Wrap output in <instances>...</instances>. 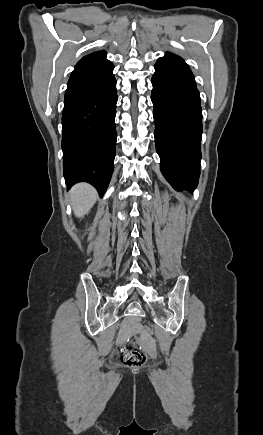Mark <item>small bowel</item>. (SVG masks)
<instances>
[{
  "mask_svg": "<svg viewBox=\"0 0 263 435\" xmlns=\"http://www.w3.org/2000/svg\"><path fill=\"white\" fill-rule=\"evenodd\" d=\"M144 348H145V350H154V348H155L154 341H145Z\"/></svg>",
  "mask_w": 263,
  "mask_h": 435,
  "instance_id": "obj_1",
  "label": "small bowel"
}]
</instances>
